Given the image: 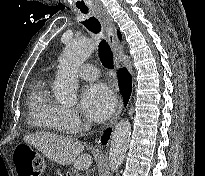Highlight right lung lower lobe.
<instances>
[{
	"mask_svg": "<svg viewBox=\"0 0 205 176\" xmlns=\"http://www.w3.org/2000/svg\"><path fill=\"white\" fill-rule=\"evenodd\" d=\"M119 83H120L121 92L125 97L126 101H128L132 90V80L130 74L125 71H120ZM110 133H111V129H108L107 131L104 132V135L101 138L102 144L105 145L107 143V140L110 137Z\"/></svg>",
	"mask_w": 205,
	"mask_h": 176,
	"instance_id": "98d812e1",
	"label": "right lung lower lobe"
}]
</instances>
